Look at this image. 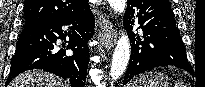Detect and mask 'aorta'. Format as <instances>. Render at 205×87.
<instances>
[{
    "label": "aorta",
    "instance_id": "762f6f07",
    "mask_svg": "<svg viewBox=\"0 0 205 87\" xmlns=\"http://www.w3.org/2000/svg\"><path fill=\"white\" fill-rule=\"evenodd\" d=\"M110 6L118 13H124L126 0H108ZM130 58V43L127 35H122L116 45L110 70V76L116 81L125 72Z\"/></svg>",
    "mask_w": 205,
    "mask_h": 87
}]
</instances>
